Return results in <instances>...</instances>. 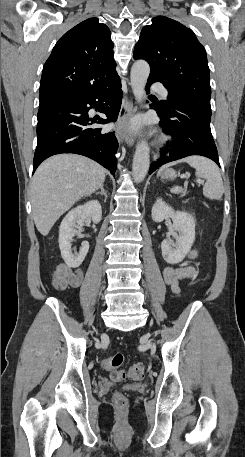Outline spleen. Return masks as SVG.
<instances>
[{
  "label": "spleen",
  "instance_id": "3e777b00",
  "mask_svg": "<svg viewBox=\"0 0 245 457\" xmlns=\"http://www.w3.org/2000/svg\"><path fill=\"white\" fill-rule=\"evenodd\" d=\"M177 162H188L190 166H193L196 170V176H200V178H206V182L203 186V194L207 196V198H217L220 200L223 192V180L220 174V170L213 160L210 158H206V156H198V154H193V156H186V158H180V160H173V162H167L164 166H161L160 170H158L157 176L161 174V170L167 168V166H173V164H177ZM171 192H175V194H180L183 192L182 186H173L170 188Z\"/></svg>",
  "mask_w": 245,
  "mask_h": 457
}]
</instances>
